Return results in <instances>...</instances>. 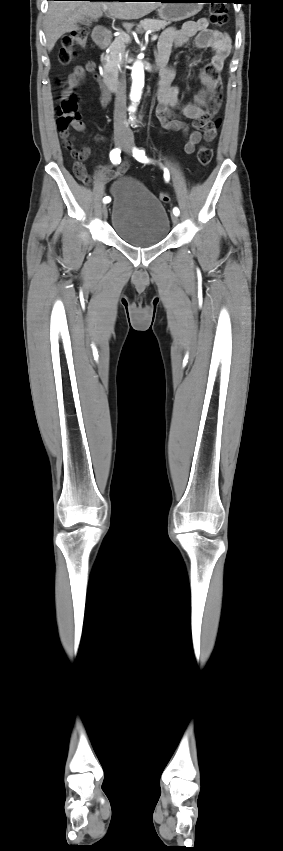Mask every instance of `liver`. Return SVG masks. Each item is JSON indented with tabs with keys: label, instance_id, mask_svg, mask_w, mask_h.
Returning a JSON list of instances; mask_svg holds the SVG:
<instances>
[{
	"label": "liver",
	"instance_id": "obj_1",
	"mask_svg": "<svg viewBox=\"0 0 283 851\" xmlns=\"http://www.w3.org/2000/svg\"><path fill=\"white\" fill-rule=\"evenodd\" d=\"M162 4L160 2L125 1H51L44 20L47 49L51 51L65 33L77 30L76 23L86 18L98 19L107 7L108 16L123 20L142 18ZM131 27L129 24H124Z\"/></svg>",
	"mask_w": 283,
	"mask_h": 851
}]
</instances>
